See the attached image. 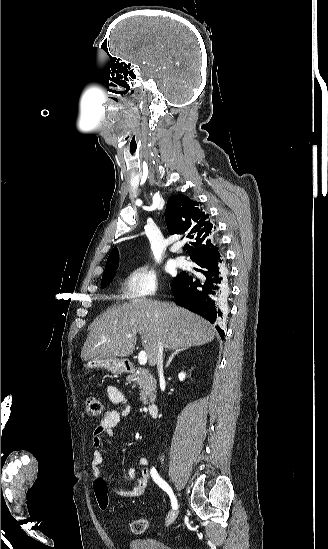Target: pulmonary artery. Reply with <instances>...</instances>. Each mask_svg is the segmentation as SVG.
Listing matches in <instances>:
<instances>
[{
    "mask_svg": "<svg viewBox=\"0 0 328 549\" xmlns=\"http://www.w3.org/2000/svg\"><path fill=\"white\" fill-rule=\"evenodd\" d=\"M174 263L179 268H186L189 262L183 256H177L174 258Z\"/></svg>",
    "mask_w": 328,
    "mask_h": 549,
    "instance_id": "obj_1",
    "label": "pulmonary artery"
}]
</instances>
